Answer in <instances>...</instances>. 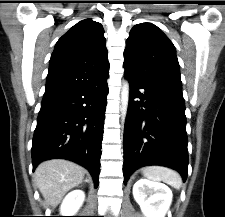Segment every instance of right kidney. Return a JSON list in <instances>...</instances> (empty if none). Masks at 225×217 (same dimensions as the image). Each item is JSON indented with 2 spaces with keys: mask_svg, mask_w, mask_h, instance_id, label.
Returning a JSON list of instances; mask_svg holds the SVG:
<instances>
[{
  "mask_svg": "<svg viewBox=\"0 0 225 217\" xmlns=\"http://www.w3.org/2000/svg\"><path fill=\"white\" fill-rule=\"evenodd\" d=\"M85 194L82 190H73L63 200L60 213L61 216H74L82 206Z\"/></svg>",
  "mask_w": 225,
  "mask_h": 217,
  "instance_id": "ca27d5eb",
  "label": "right kidney"
}]
</instances>
